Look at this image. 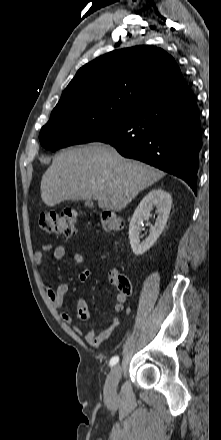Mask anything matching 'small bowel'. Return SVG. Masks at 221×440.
<instances>
[{
	"mask_svg": "<svg viewBox=\"0 0 221 440\" xmlns=\"http://www.w3.org/2000/svg\"><path fill=\"white\" fill-rule=\"evenodd\" d=\"M52 249L51 244H45L42 248V250H38L34 253V262L37 267H42L44 262V252L50 251ZM54 258L57 260H61L65 257L66 254V247L63 244H60L56 246L53 250ZM73 261L77 264H84L85 263V257L81 252H75L72 256ZM90 276V270L88 268H84L79 276L78 280L80 282H85ZM115 274H111V280L114 281ZM70 286L67 283H60L56 289H53L51 287L46 288V295L49 298V300L52 303V306L54 309H61L64 304V298L69 293ZM126 302V296L118 293L116 295V302L113 304V312L119 313L123 311L124 309V303ZM76 317L79 321H87L90 317L89 308L86 300L83 297H80L77 300L76 305ZM60 318L63 323L70 325L73 323L74 319L68 312H61ZM119 324V318L117 315H114L112 320L108 323V325L102 329L100 332H97L95 329H90L86 335L85 340L86 342L92 346V347H99L105 340H107L113 330L118 326ZM74 331L77 334L82 333V329L80 326H74Z\"/></svg>",
	"mask_w": 221,
	"mask_h": 440,
	"instance_id": "obj_1",
	"label": "small bowel"
}]
</instances>
